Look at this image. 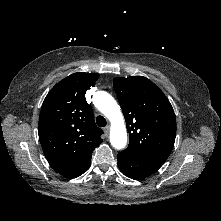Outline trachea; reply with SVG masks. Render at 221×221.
Listing matches in <instances>:
<instances>
[{
  "label": "trachea",
  "instance_id": "obj_1",
  "mask_svg": "<svg viewBox=\"0 0 221 221\" xmlns=\"http://www.w3.org/2000/svg\"><path fill=\"white\" fill-rule=\"evenodd\" d=\"M96 122L99 127H105L107 124L106 119L103 116H98Z\"/></svg>",
  "mask_w": 221,
  "mask_h": 221
}]
</instances>
